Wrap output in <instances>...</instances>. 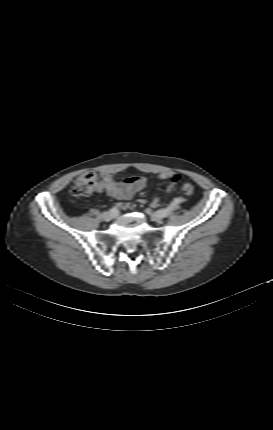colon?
Returning <instances> with one entry per match:
<instances>
[{
    "instance_id": "obj_1",
    "label": "colon",
    "mask_w": 273,
    "mask_h": 430,
    "mask_svg": "<svg viewBox=\"0 0 273 430\" xmlns=\"http://www.w3.org/2000/svg\"><path fill=\"white\" fill-rule=\"evenodd\" d=\"M99 176L95 172H85L81 174L71 188V193L74 196H88L93 194L98 189ZM183 192L190 196L194 192V187L190 183L183 185Z\"/></svg>"
}]
</instances>
